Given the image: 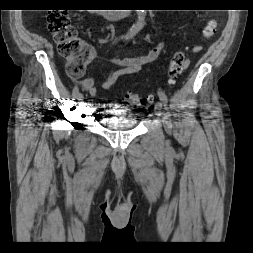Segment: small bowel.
<instances>
[{
    "mask_svg": "<svg viewBox=\"0 0 253 253\" xmlns=\"http://www.w3.org/2000/svg\"><path fill=\"white\" fill-rule=\"evenodd\" d=\"M165 48V39H161L146 55L139 57L128 58H112L109 61L120 67L118 70L111 69L107 78L97 83L93 77H88L82 80L74 79L73 81L87 91L92 97L98 96L99 89H109L117 85L119 77L123 75H131L138 73L142 67L155 61ZM195 51H200L201 47L194 48Z\"/></svg>",
    "mask_w": 253,
    "mask_h": 253,
    "instance_id": "1",
    "label": "small bowel"
}]
</instances>
